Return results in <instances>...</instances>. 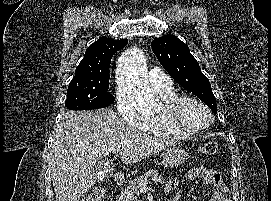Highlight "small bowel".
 <instances>
[{"label":"small bowel","instance_id":"obj_1","mask_svg":"<svg viewBox=\"0 0 271 201\" xmlns=\"http://www.w3.org/2000/svg\"><path fill=\"white\" fill-rule=\"evenodd\" d=\"M186 179L194 181L199 179L204 186L212 189V194L208 201H229V194L220 174L205 166H198L190 169L186 173ZM179 185V179H172L165 187L167 193L175 190Z\"/></svg>","mask_w":271,"mask_h":201}]
</instances>
